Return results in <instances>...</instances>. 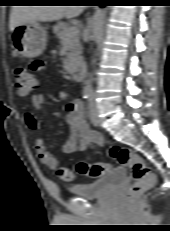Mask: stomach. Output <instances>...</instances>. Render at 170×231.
Returning <instances> with one entry per match:
<instances>
[{"instance_id":"obj_1","label":"stomach","mask_w":170,"mask_h":231,"mask_svg":"<svg viewBox=\"0 0 170 231\" xmlns=\"http://www.w3.org/2000/svg\"><path fill=\"white\" fill-rule=\"evenodd\" d=\"M47 32L37 22L23 23L12 31V43L18 54L34 58L46 48Z\"/></svg>"}]
</instances>
